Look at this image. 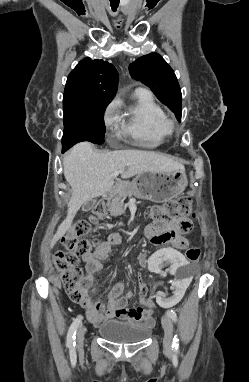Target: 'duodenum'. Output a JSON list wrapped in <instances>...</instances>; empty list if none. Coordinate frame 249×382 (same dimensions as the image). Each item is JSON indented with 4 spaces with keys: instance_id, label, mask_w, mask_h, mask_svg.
<instances>
[{
    "instance_id": "410a0bca",
    "label": "duodenum",
    "mask_w": 249,
    "mask_h": 382,
    "mask_svg": "<svg viewBox=\"0 0 249 382\" xmlns=\"http://www.w3.org/2000/svg\"><path fill=\"white\" fill-rule=\"evenodd\" d=\"M113 193H114V188L112 187V188H110V189H108L105 193H104V198L105 199H109V198H111L112 196H113Z\"/></svg>"
}]
</instances>
